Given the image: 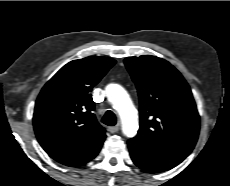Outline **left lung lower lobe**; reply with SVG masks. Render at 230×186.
Here are the masks:
<instances>
[{"instance_id":"0a47b994","label":"left lung lower lobe","mask_w":230,"mask_h":186,"mask_svg":"<svg viewBox=\"0 0 230 186\" xmlns=\"http://www.w3.org/2000/svg\"><path fill=\"white\" fill-rule=\"evenodd\" d=\"M128 147L133 162L150 173L172 169L186 158L177 153L153 149L134 139L128 140Z\"/></svg>"}]
</instances>
